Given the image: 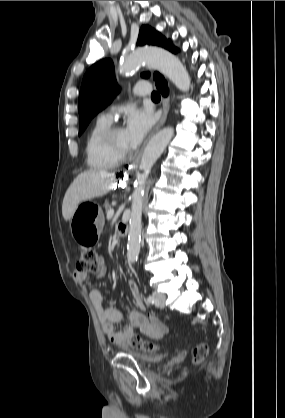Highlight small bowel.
I'll list each match as a JSON object with an SVG mask.
<instances>
[{
  "instance_id": "1",
  "label": "small bowel",
  "mask_w": 285,
  "mask_h": 418,
  "mask_svg": "<svg viewBox=\"0 0 285 418\" xmlns=\"http://www.w3.org/2000/svg\"><path fill=\"white\" fill-rule=\"evenodd\" d=\"M106 273L107 267L103 259L99 257L96 277L103 278ZM86 278L87 276L83 273H74V279L78 283H83ZM128 289L133 300L143 310L144 306L136 281L129 280ZM89 298L98 316L103 332L116 345H127L129 336L134 329H139L143 334L152 338H161L168 331L167 326L161 320L137 310L128 312L127 326L117 328L116 325L122 320V313L114 307H104L103 296L99 289H92L89 292Z\"/></svg>"
}]
</instances>
